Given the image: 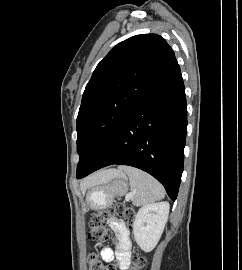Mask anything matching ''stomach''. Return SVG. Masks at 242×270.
Instances as JSON below:
<instances>
[{"label":"stomach","mask_w":242,"mask_h":270,"mask_svg":"<svg viewBox=\"0 0 242 270\" xmlns=\"http://www.w3.org/2000/svg\"><path fill=\"white\" fill-rule=\"evenodd\" d=\"M126 190V176L121 172H116L109 180L90 188L87 193L88 208L105 209L111 205L116 196L124 195Z\"/></svg>","instance_id":"0dacf381"}]
</instances>
